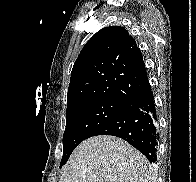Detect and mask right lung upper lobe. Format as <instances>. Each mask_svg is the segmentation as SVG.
<instances>
[{
	"instance_id": "obj_1",
	"label": "right lung upper lobe",
	"mask_w": 196,
	"mask_h": 182,
	"mask_svg": "<svg viewBox=\"0 0 196 182\" xmlns=\"http://www.w3.org/2000/svg\"><path fill=\"white\" fill-rule=\"evenodd\" d=\"M148 86L135 39L123 27H105L85 44L73 66L67 111L99 99L131 104Z\"/></svg>"
}]
</instances>
